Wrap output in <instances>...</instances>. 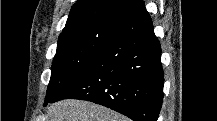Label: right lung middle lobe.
Masks as SVG:
<instances>
[{"label": "right lung middle lobe", "mask_w": 217, "mask_h": 121, "mask_svg": "<svg viewBox=\"0 0 217 121\" xmlns=\"http://www.w3.org/2000/svg\"><path fill=\"white\" fill-rule=\"evenodd\" d=\"M125 25V22L117 20H96L62 33L45 100L55 96L71 79L85 70Z\"/></svg>", "instance_id": "obj_1"}]
</instances>
